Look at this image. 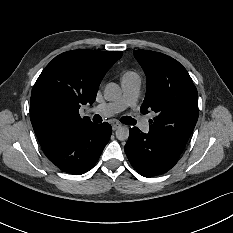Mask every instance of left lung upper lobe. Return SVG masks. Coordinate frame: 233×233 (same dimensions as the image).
<instances>
[{
  "mask_svg": "<svg viewBox=\"0 0 233 233\" xmlns=\"http://www.w3.org/2000/svg\"><path fill=\"white\" fill-rule=\"evenodd\" d=\"M134 56L147 77V92L140 108L157 116L149 133L187 143L198 119V93L186 69L162 53L135 50Z\"/></svg>",
  "mask_w": 233,
  "mask_h": 233,
  "instance_id": "5c2ea615",
  "label": "left lung upper lobe"
}]
</instances>
